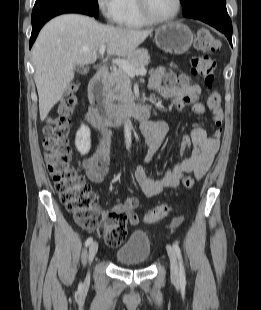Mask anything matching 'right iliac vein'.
Here are the masks:
<instances>
[{
  "label": "right iliac vein",
  "mask_w": 261,
  "mask_h": 310,
  "mask_svg": "<svg viewBox=\"0 0 261 310\" xmlns=\"http://www.w3.org/2000/svg\"><path fill=\"white\" fill-rule=\"evenodd\" d=\"M97 251H98V243L97 242L91 243L89 247V252H88L89 262L93 261Z\"/></svg>",
  "instance_id": "obj_1"
}]
</instances>
